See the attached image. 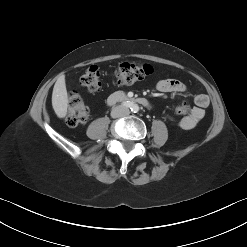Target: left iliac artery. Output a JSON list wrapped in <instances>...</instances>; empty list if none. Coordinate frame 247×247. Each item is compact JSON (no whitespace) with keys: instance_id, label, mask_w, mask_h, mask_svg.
Returning <instances> with one entry per match:
<instances>
[{"instance_id":"left-iliac-artery-1","label":"left iliac artery","mask_w":247,"mask_h":247,"mask_svg":"<svg viewBox=\"0 0 247 247\" xmlns=\"http://www.w3.org/2000/svg\"><path fill=\"white\" fill-rule=\"evenodd\" d=\"M134 113L138 112L139 108L137 106H134L133 109H131Z\"/></svg>"}]
</instances>
